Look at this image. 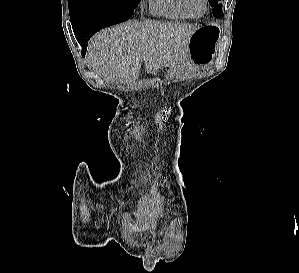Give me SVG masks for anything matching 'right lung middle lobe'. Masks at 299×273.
Returning a JSON list of instances; mask_svg holds the SVG:
<instances>
[{"mask_svg": "<svg viewBox=\"0 0 299 273\" xmlns=\"http://www.w3.org/2000/svg\"><path fill=\"white\" fill-rule=\"evenodd\" d=\"M141 0H68L70 19L104 12L134 11Z\"/></svg>", "mask_w": 299, "mask_h": 273, "instance_id": "obj_1", "label": "right lung middle lobe"}]
</instances>
